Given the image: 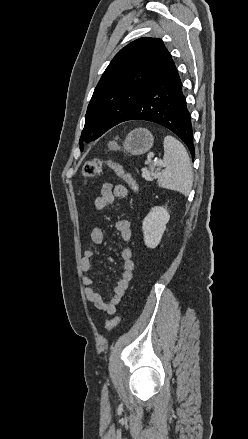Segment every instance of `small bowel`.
Returning a JSON list of instances; mask_svg holds the SVG:
<instances>
[{
    "instance_id": "c3829d8e",
    "label": "small bowel",
    "mask_w": 248,
    "mask_h": 439,
    "mask_svg": "<svg viewBox=\"0 0 248 439\" xmlns=\"http://www.w3.org/2000/svg\"><path fill=\"white\" fill-rule=\"evenodd\" d=\"M127 196L128 190L125 186L105 183L101 187L100 195L94 200V208L98 211L104 210L108 205L113 204L117 199L124 200L127 198ZM115 227L123 241H130L132 237V230L131 224L128 220H118L115 224ZM90 240L93 244H101L104 241L103 230L100 227H94L90 233ZM93 256V249L88 248L84 251L81 259V270L84 273L90 272L92 268ZM120 256L123 261V271L120 279L114 287V294L109 301H105L102 294L93 287L94 278L90 274H85L82 279L83 285L85 286L84 293L87 301L96 309L109 315L115 314L118 306L121 304L125 292L129 287L135 268V263L132 259V251L130 248H123Z\"/></svg>"
}]
</instances>
